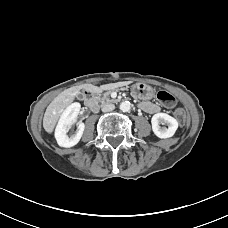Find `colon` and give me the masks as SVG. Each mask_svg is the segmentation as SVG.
<instances>
[{"label": "colon", "instance_id": "colon-1", "mask_svg": "<svg viewBox=\"0 0 228 228\" xmlns=\"http://www.w3.org/2000/svg\"><path fill=\"white\" fill-rule=\"evenodd\" d=\"M156 97L158 101L165 106L172 107L175 105L176 100L174 96L166 91H159ZM175 116L181 124H184L187 120V114L182 108L175 110Z\"/></svg>", "mask_w": 228, "mask_h": 228}]
</instances>
